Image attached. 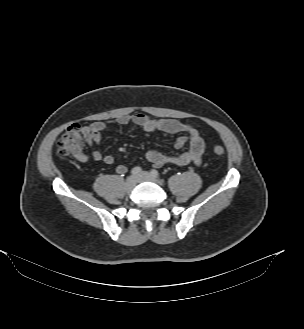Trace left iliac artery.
I'll return each mask as SVG.
<instances>
[{"mask_svg": "<svg viewBox=\"0 0 304 329\" xmlns=\"http://www.w3.org/2000/svg\"><path fill=\"white\" fill-rule=\"evenodd\" d=\"M151 174L155 177L158 178L159 177V172L155 169L151 170Z\"/></svg>", "mask_w": 304, "mask_h": 329, "instance_id": "1", "label": "left iliac artery"}]
</instances>
